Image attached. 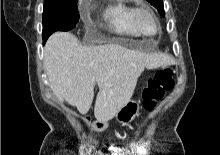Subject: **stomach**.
Masks as SVG:
<instances>
[{
  "instance_id": "obj_1",
  "label": "stomach",
  "mask_w": 220,
  "mask_h": 155,
  "mask_svg": "<svg viewBox=\"0 0 220 155\" xmlns=\"http://www.w3.org/2000/svg\"><path fill=\"white\" fill-rule=\"evenodd\" d=\"M140 101L129 100L116 114V120L123 125L132 122L140 111ZM108 127L107 122L95 121L91 124L92 130L102 132Z\"/></svg>"
}]
</instances>
